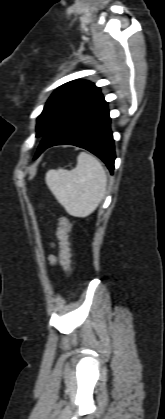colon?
I'll return each mask as SVG.
<instances>
[{
  "label": "colon",
  "instance_id": "obj_1",
  "mask_svg": "<svg viewBox=\"0 0 165 419\" xmlns=\"http://www.w3.org/2000/svg\"><path fill=\"white\" fill-rule=\"evenodd\" d=\"M70 232L71 228L68 218L60 216L58 219L57 238L59 240L60 256L64 265L66 276L70 274L72 268Z\"/></svg>",
  "mask_w": 165,
  "mask_h": 419
}]
</instances>
